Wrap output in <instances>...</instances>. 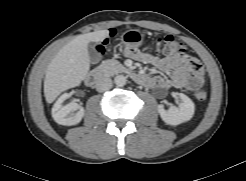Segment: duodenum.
I'll return each instance as SVG.
<instances>
[{"label": "duodenum", "instance_id": "1", "mask_svg": "<svg viewBox=\"0 0 246 181\" xmlns=\"http://www.w3.org/2000/svg\"><path fill=\"white\" fill-rule=\"evenodd\" d=\"M132 78L140 84H147L149 81V77L138 73V72H131ZM105 80V76L102 70L95 69L90 71L86 76V83L91 87H99L102 86Z\"/></svg>", "mask_w": 246, "mask_h": 181}]
</instances>
